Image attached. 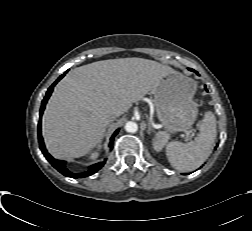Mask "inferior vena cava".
I'll use <instances>...</instances> for the list:
<instances>
[{
    "label": "inferior vena cava",
    "instance_id": "1",
    "mask_svg": "<svg viewBox=\"0 0 252 231\" xmlns=\"http://www.w3.org/2000/svg\"><path fill=\"white\" fill-rule=\"evenodd\" d=\"M117 115L115 114H111L108 116V121L111 122V121H114L116 119Z\"/></svg>",
    "mask_w": 252,
    "mask_h": 231
}]
</instances>
